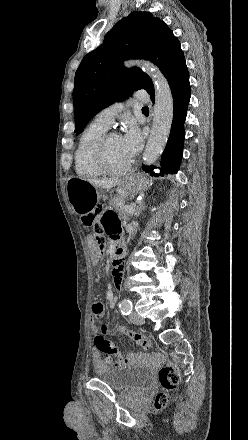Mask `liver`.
Listing matches in <instances>:
<instances>
[{
  "label": "liver",
  "mask_w": 248,
  "mask_h": 440,
  "mask_svg": "<svg viewBox=\"0 0 248 440\" xmlns=\"http://www.w3.org/2000/svg\"><path fill=\"white\" fill-rule=\"evenodd\" d=\"M92 185L97 188L110 189L121 183L120 179H89Z\"/></svg>",
  "instance_id": "6515ba94"
}]
</instances>
